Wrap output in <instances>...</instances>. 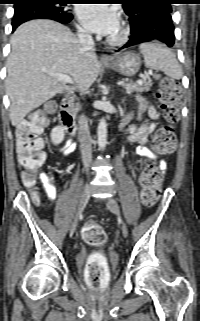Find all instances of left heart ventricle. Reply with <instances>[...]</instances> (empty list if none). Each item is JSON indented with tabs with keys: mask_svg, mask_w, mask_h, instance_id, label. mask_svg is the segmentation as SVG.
<instances>
[{
	"mask_svg": "<svg viewBox=\"0 0 200 321\" xmlns=\"http://www.w3.org/2000/svg\"><path fill=\"white\" fill-rule=\"evenodd\" d=\"M117 33H118V30L114 34H112V36L117 35Z\"/></svg>",
	"mask_w": 200,
	"mask_h": 321,
	"instance_id": "left-heart-ventricle-1",
	"label": "left heart ventricle"
}]
</instances>
